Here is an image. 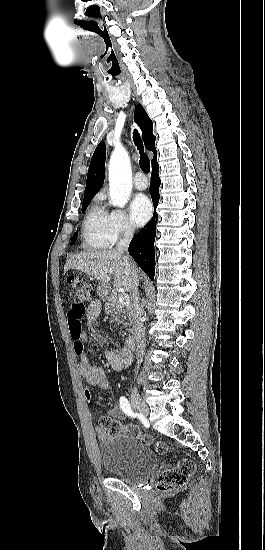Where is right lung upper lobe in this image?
I'll return each instance as SVG.
<instances>
[{
	"instance_id": "obj_1",
	"label": "right lung upper lobe",
	"mask_w": 265,
	"mask_h": 550,
	"mask_svg": "<svg viewBox=\"0 0 265 550\" xmlns=\"http://www.w3.org/2000/svg\"><path fill=\"white\" fill-rule=\"evenodd\" d=\"M134 118L142 131L143 140H144L146 149L151 150L154 154V158L152 160V164H154L155 162H157L156 160L157 151L154 145L156 138L152 133L153 123L148 117L142 105L140 104H138L135 107ZM105 157H106L105 143L101 142L95 149V152L90 162L89 171L87 175L86 188L84 191V194H85L84 199L93 198L94 195L102 187L104 182V176H105V170H104Z\"/></svg>"
}]
</instances>
